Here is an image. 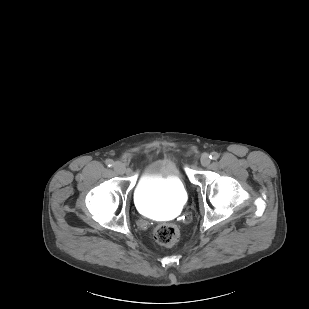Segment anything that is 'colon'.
<instances>
[{"label": "colon", "instance_id": "5ec220e1", "mask_svg": "<svg viewBox=\"0 0 309 309\" xmlns=\"http://www.w3.org/2000/svg\"><path fill=\"white\" fill-rule=\"evenodd\" d=\"M178 228L172 223H163L156 227L154 238L160 245L173 246L179 240Z\"/></svg>", "mask_w": 309, "mask_h": 309}]
</instances>
